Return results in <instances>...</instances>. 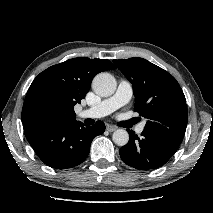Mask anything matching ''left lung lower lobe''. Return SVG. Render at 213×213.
<instances>
[{
  "label": "left lung lower lobe",
  "mask_w": 213,
  "mask_h": 213,
  "mask_svg": "<svg viewBox=\"0 0 213 213\" xmlns=\"http://www.w3.org/2000/svg\"><path fill=\"white\" fill-rule=\"evenodd\" d=\"M129 142L119 153L121 159L138 170L156 169L165 164L178 149L180 142L143 130L141 136L128 130Z\"/></svg>",
  "instance_id": "1"
}]
</instances>
